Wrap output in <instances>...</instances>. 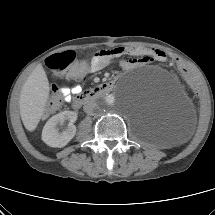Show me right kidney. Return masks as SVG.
Returning a JSON list of instances; mask_svg holds the SVG:
<instances>
[{"label": "right kidney", "instance_id": "1", "mask_svg": "<svg viewBox=\"0 0 215 215\" xmlns=\"http://www.w3.org/2000/svg\"><path fill=\"white\" fill-rule=\"evenodd\" d=\"M77 119V113L73 111H63L52 116L45 124L42 131V140L50 147H64L71 141L76 134L74 122ZM68 120V126L59 131L57 125Z\"/></svg>", "mask_w": 215, "mask_h": 215}]
</instances>
